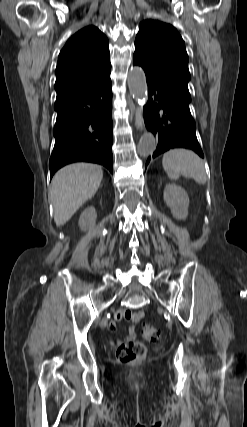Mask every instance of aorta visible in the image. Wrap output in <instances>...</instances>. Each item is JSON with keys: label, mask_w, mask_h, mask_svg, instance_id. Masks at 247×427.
I'll list each match as a JSON object with an SVG mask.
<instances>
[{"label": "aorta", "mask_w": 247, "mask_h": 427, "mask_svg": "<svg viewBox=\"0 0 247 427\" xmlns=\"http://www.w3.org/2000/svg\"><path fill=\"white\" fill-rule=\"evenodd\" d=\"M128 87L135 98L140 104H145L147 101V83L145 73L142 69L134 67L128 74ZM156 139L150 132L144 133L138 143L137 152L140 156L146 157L156 149Z\"/></svg>", "instance_id": "aorta-1"}]
</instances>
